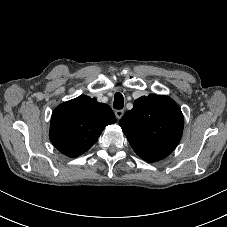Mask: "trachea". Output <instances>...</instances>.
I'll return each instance as SVG.
<instances>
[{
    "label": "trachea",
    "instance_id": "1",
    "mask_svg": "<svg viewBox=\"0 0 227 227\" xmlns=\"http://www.w3.org/2000/svg\"><path fill=\"white\" fill-rule=\"evenodd\" d=\"M124 106V98L123 95L119 92L115 93L114 95V103L113 107L114 109H122Z\"/></svg>",
    "mask_w": 227,
    "mask_h": 227
}]
</instances>
